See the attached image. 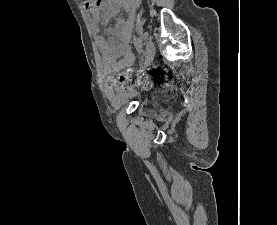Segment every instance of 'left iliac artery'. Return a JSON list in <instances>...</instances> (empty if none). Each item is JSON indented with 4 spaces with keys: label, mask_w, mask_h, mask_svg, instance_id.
Segmentation results:
<instances>
[{
    "label": "left iliac artery",
    "mask_w": 277,
    "mask_h": 225,
    "mask_svg": "<svg viewBox=\"0 0 277 225\" xmlns=\"http://www.w3.org/2000/svg\"><path fill=\"white\" fill-rule=\"evenodd\" d=\"M134 44L139 51H142L143 43L138 37H134Z\"/></svg>",
    "instance_id": "obj_1"
}]
</instances>
